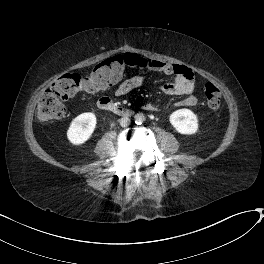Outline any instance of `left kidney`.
Wrapping results in <instances>:
<instances>
[{
  "label": "left kidney",
  "mask_w": 264,
  "mask_h": 264,
  "mask_svg": "<svg viewBox=\"0 0 264 264\" xmlns=\"http://www.w3.org/2000/svg\"><path fill=\"white\" fill-rule=\"evenodd\" d=\"M170 123L177 132L191 135L198 130V118L190 109H179L170 115Z\"/></svg>",
  "instance_id": "5707ae66"
}]
</instances>
